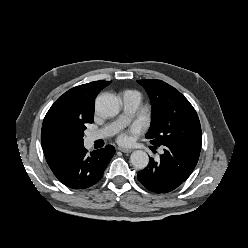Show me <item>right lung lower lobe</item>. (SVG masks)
<instances>
[{"label": "right lung lower lobe", "instance_id": "right-lung-lower-lobe-1", "mask_svg": "<svg viewBox=\"0 0 248 248\" xmlns=\"http://www.w3.org/2000/svg\"><path fill=\"white\" fill-rule=\"evenodd\" d=\"M114 153L115 148L111 145L91 154H88V151L82 146L52 171L65 186L72 189H85L102 178Z\"/></svg>", "mask_w": 248, "mask_h": 248}]
</instances>
